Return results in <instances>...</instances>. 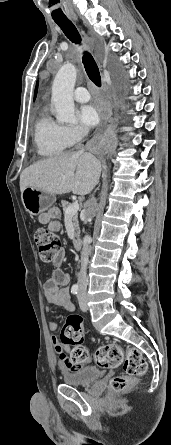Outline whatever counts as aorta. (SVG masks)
Wrapping results in <instances>:
<instances>
[{
	"label": "aorta",
	"mask_w": 171,
	"mask_h": 445,
	"mask_svg": "<svg viewBox=\"0 0 171 445\" xmlns=\"http://www.w3.org/2000/svg\"><path fill=\"white\" fill-rule=\"evenodd\" d=\"M76 75V67L72 63H66L61 66L53 81L51 102L56 110L57 121L60 123L76 121L73 100Z\"/></svg>",
	"instance_id": "1"
}]
</instances>
